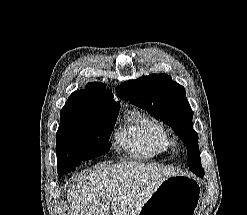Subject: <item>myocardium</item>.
<instances>
[{"instance_id": "f54148a6", "label": "myocardium", "mask_w": 247, "mask_h": 215, "mask_svg": "<svg viewBox=\"0 0 247 215\" xmlns=\"http://www.w3.org/2000/svg\"><path fill=\"white\" fill-rule=\"evenodd\" d=\"M170 143L173 144V145H176L177 141L173 139V140L170 141Z\"/></svg>"}]
</instances>
